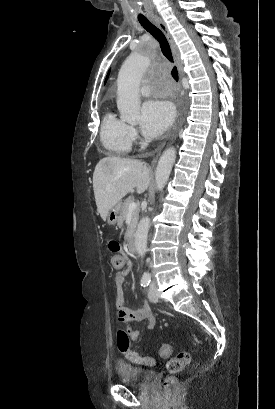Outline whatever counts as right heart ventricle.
<instances>
[{
  "label": "right heart ventricle",
  "instance_id": "obj_1",
  "mask_svg": "<svg viewBox=\"0 0 275 409\" xmlns=\"http://www.w3.org/2000/svg\"><path fill=\"white\" fill-rule=\"evenodd\" d=\"M100 140L110 155H127L131 151L133 142L130 126L114 114L107 113L102 120Z\"/></svg>",
  "mask_w": 275,
  "mask_h": 409
}]
</instances>
